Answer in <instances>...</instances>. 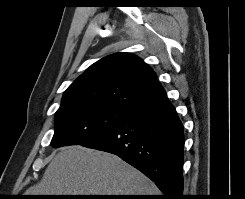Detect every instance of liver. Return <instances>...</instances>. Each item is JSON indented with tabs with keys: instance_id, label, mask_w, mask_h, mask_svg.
I'll list each match as a JSON object with an SVG mask.
<instances>
[{
	"instance_id": "liver-1",
	"label": "liver",
	"mask_w": 245,
	"mask_h": 199,
	"mask_svg": "<svg viewBox=\"0 0 245 199\" xmlns=\"http://www.w3.org/2000/svg\"><path fill=\"white\" fill-rule=\"evenodd\" d=\"M25 195H158L156 185L116 155L82 146L62 149Z\"/></svg>"
}]
</instances>
